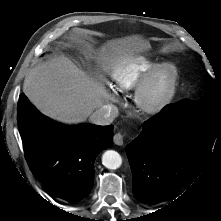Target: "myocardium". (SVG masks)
Here are the masks:
<instances>
[{
    "label": "myocardium",
    "mask_w": 221,
    "mask_h": 221,
    "mask_svg": "<svg viewBox=\"0 0 221 221\" xmlns=\"http://www.w3.org/2000/svg\"><path fill=\"white\" fill-rule=\"evenodd\" d=\"M164 72L169 74V82L160 93H156L159 76ZM178 84L179 69L176 64L173 62L156 64L138 85L135 92V102L146 113H158L171 103Z\"/></svg>",
    "instance_id": "myocardium-1"
}]
</instances>
